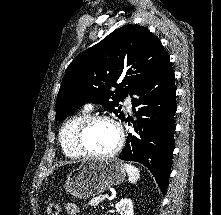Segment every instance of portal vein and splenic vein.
Returning a JSON list of instances; mask_svg holds the SVG:
<instances>
[{
  "instance_id": "portal-vein-and-splenic-vein-1",
  "label": "portal vein and splenic vein",
  "mask_w": 221,
  "mask_h": 215,
  "mask_svg": "<svg viewBox=\"0 0 221 215\" xmlns=\"http://www.w3.org/2000/svg\"><path fill=\"white\" fill-rule=\"evenodd\" d=\"M107 197H108L107 194H105V195L102 196L103 199H105V198H107Z\"/></svg>"
}]
</instances>
